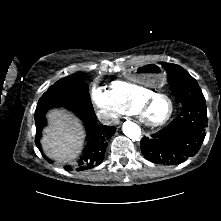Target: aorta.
<instances>
[{
	"instance_id": "aorta-1",
	"label": "aorta",
	"mask_w": 221,
	"mask_h": 221,
	"mask_svg": "<svg viewBox=\"0 0 221 221\" xmlns=\"http://www.w3.org/2000/svg\"><path fill=\"white\" fill-rule=\"evenodd\" d=\"M123 133L133 141L140 140L141 129L140 127L131 121H126L122 127Z\"/></svg>"
}]
</instances>
